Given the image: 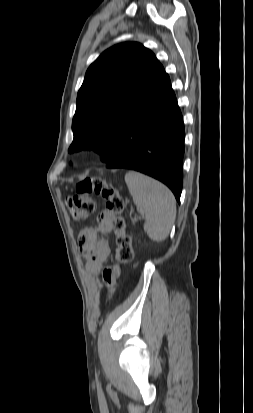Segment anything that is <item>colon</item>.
<instances>
[{
	"mask_svg": "<svg viewBox=\"0 0 253 413\" xmlns=\"http://www.w3.org/2000/svg\"><path fill=\"white\" fill-rule=\"evenodd\" d=\"M93 193L101 195L106 201L107 209L116 216L115 258L118 264L125 265L133 258V246L131 238L125 232V220L122 215L125 208L124 200L112 184L98 177L79 181L75 194L67 200L70 213L76 220H85L92 216L96 209Z\"/></svg>",
	"mask_w": 253,
	"mask_h": 413,
	"instance_id": "5ec220e1",
	"label": "colon"
}]
</instances>
